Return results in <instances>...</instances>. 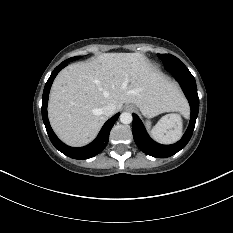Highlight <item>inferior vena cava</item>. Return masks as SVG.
<instances>
[{
  "label": "inferior vena cava",
  "instance_id": "602c4592",
  "mask_svg": "<svg viewBox=\"0 0 233 233\" xmlns=\"http://www.w3.org/2000/svg\"><path fill=\"white\" fill-rule=\"evenodd\" d=\"M116 112V107L114 104H108L102 108V113L109 117L112 116Z\"/></svg>",
  "mask_w": 233,
  "mask_h": 233
}]
</instances>
